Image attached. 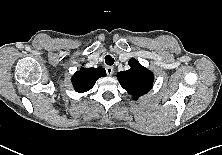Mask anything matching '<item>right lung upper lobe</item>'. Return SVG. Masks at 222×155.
<instances>
[{"instance_id":"obj_1","label":"right lung upper lobe","mask_w":222,"mask_h":155,"mask_svg":"<svg viewBox=\"0 0 222 155\" xmlns=\"http://www.w3.org/2000/svg\"><path fill=\"white\" fill-rule=\"evenodd\" d=\"M106 71L102 67L85 68L81 67L72 77V85L77 92H86L94 86L97 79L105 77Z\"/></svg>"}]
</instances>
